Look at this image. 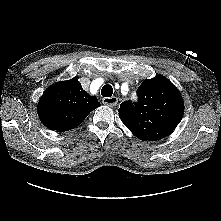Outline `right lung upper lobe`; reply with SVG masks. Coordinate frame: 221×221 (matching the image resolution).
<instances>
[{
  "mask_svg": "<svg viewBox=\"0 0 221 221\" xmlns=\"http://www.w3.org/2000/svg\"><path fill=\"white\" fill-rule=\"evenodd\" d=\"M99 106L98 99L84 91L73 78L47 88L40 98L38 115L50 130L64 132L80 125Z\"/></svg>",
  "mask_w": 221,
  "mask_h": 221,
  "instance_id": "right-lung-upper-lobe-1",
  "label": "right lung upper lobe"
}]
</instances>
